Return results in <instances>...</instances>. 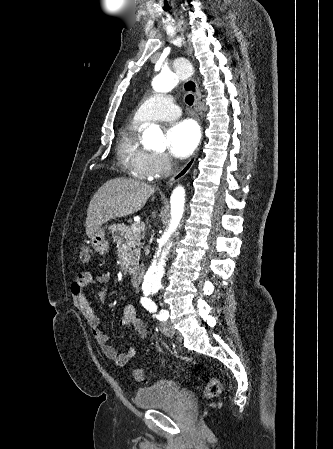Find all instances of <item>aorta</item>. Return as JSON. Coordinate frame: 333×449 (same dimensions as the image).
<instances>
[{"label": "aorta", "mask_w": 333, "mask_h": 449, "mask_svg": "<svg viewBox=\"0 0 333 449\" xmlns=\"http://www.w3.org/2000/svg\"><path fill=\"white\" fill-rule=\"evenodd\" d=\"M192 72L189 61H177L174 71H162L152 82L153 89L156 92H168L176 83L184 76H188ZM143 140L145 145L156 151H164L166 142L164 135L157 125H150L143 132ZM187 200V190L185 185L179 184L171 194V220L167 226L161 228L157 236V248L152 263L144 276L142 293L144 295L153 294L161 287V279L164 274L167 257L170 253L174 238L178 234V227L184 216L185 202Z\"/></svg>", "instance_id": "obj_1"}]
</instances>
